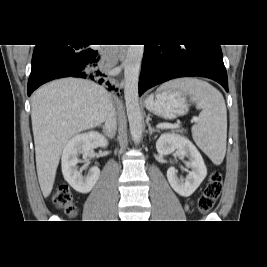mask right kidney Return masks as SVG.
<instances>
[{
    "instance_id": "ca27d5eb",
    "label": "right kidney",
    "mask_w": 267,
    "mask_h": 267,
    "mask_svg": "<svg viewBox=\"0 0 267 267\" xmlns=\"http://www.w3.org/2000/svg\"><path fill=\"white\" fill-rule=\"evenodd\" d=\"M108 145L104 136L98 132H87L74 136L64 147L62 154V173L65 180L79 193H88L96 184L100 170L94 166L89 170L87 176H83L78 170L77 164L80 162L79 155L88 162V155L91 149L106 147Z\"/></svg>"
}]
</instances>
